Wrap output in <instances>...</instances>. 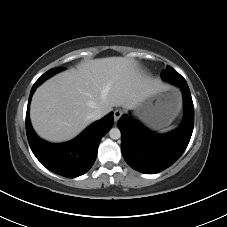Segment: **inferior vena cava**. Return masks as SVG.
Masks as SVG:
<instances>
[{
    "instance_id": "inferior-vena-cava-1",
    "label": "inferior vena cava",
    "mask_w": 227,
    "mask_h": 227,
    "mask_svg": "<svg viewBox=\"0 0 227 227\" xmlns=\"http://www.w3.org/2000/svg\"><path fill=\"white\" fill-rule=\"evenodd\" d=\"M104 115H105V113H104L103 111H101V110H95L94 112H92V113L90 114L89 117H90L92 120H98V119L102 118Z\"/></svg>"
}]
</instances>
